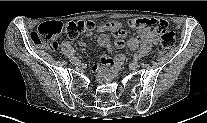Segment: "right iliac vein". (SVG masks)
<instances>
[{"label": "right iliac vein", "instance_id": "1", "mask_svg": "<svg viewBox=\"0 0 207 123\" xmlns=\"http://www.w3.org/2000/svg\"><path fill=\"white\" fill-rule=\"evenodd\" d=\"M73 64L80 66L81 65V61L80 60H76L75 62H73Z\"/></svg>", "mask_w": 207, "mask_h": 123}]
</instances>
